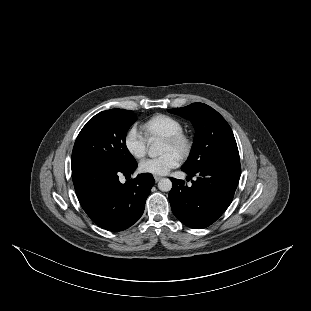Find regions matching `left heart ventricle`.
Segmentation results:
<instances>
[{
	"label": "left heart ventricle",
	"instance_id": "left-heart-ventricle-1",
	"mask_svg": "<svg viewBox=\"0 0 311 311\" xmlns=\"http://www.w3.org/2000/svg\"><path fill=\"white\" fill-rule=\"evenodd\" d=\"M169 151H175V152H177L178 153V150L174 147V146H172L171 144H169V143H167L166 141H165V144H164V147H163V153H167V152H169Z\"/></svg>",
	"mask_w": 311,
	"mask_h": 311
}]
</instances>
